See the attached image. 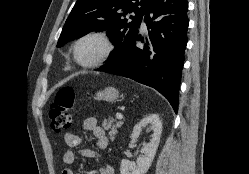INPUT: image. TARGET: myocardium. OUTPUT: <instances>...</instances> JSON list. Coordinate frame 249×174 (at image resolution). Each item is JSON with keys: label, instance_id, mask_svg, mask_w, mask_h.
<instances>
[{"label": "myocardium", "instance_id": "myocardium-1", "mask_svg": "<svg viewBox=\"0 0 249 174\" xmlns=\"http://www.w3.org/2000/svg\"><path fill=\"white\" fill-rule=\"evenodd\" d=\"M91 38H95V39L100 40L103 43L104 50H103V53L94 61L83 62L78 57V47L83 41H85L87 39H91ZM114 49H115V45H114L111 37L108 35L107 32L102 31V30H92V31H89V32L83 34L75 41V43L73 45V57H74V60L76 61V63L78 65H80L81 67L94 68V67H98V66L102 65L104 62H106L113 54Z\"/></svg>", "mask_w": 249, "mask_h": 174}]
</instances>
